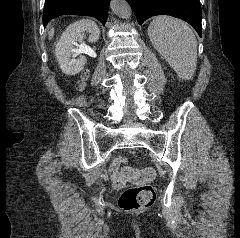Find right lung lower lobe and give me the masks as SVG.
Segmentation results:
<instances>
[{
	"instance_id": "obj_1",
	"label": "right lung lower lobe",
	"mask_w": 240,
	"mask_h": 238,
	"mask_svg": "<svg viewBox=\"0 0 240 238\" xmlns=\"http://www.w3.org/2000/svg\"><path fill=\"white\" fill-rule=\"evenodd\" d=\"M110 0H45L44 27L52 18L61 15H88L97 18L103 25L107 21Z\"/></svg>"
}]
</instances>
